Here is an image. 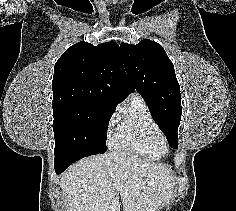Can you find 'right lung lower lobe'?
<instances>
[{
  "label": "right lung lower lobe",
  "instance_id": "right-lung-lower-lobe-1",
  "mask_svg": "<svg viewBox=\"0 0 236 211\" xmlns=\"http://www.w3.org/2000/svg\"><path fill=\"white\" fill-rule=\"evenodd\" d=\"M98 154L97 152L89 150H70L55 154V172L62 173L73 162L90 155Z\"/></svg>",
  "mask_w": 236,
  "mask_h": 211
}]
</instances>
